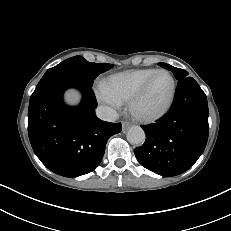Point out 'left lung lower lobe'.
I'll list each match as a JSON object with an SVG mask.
<instances>
[{"label":"left lung lower lobe","instance_id":"0a47b994","mask_svg":"<svg viewBox=\"0 0 231 231\" xmlns=\"http://www.w3.org/2000/svg\"><path fill=\"white\" fill-rule=\"evenodd\" d=\"M208 104L205 93L192 77L179 80L173 104L156 123L141 126L145 143L134 150L139 163L164 176L191 168L208 140Z\"/></svg>","mask_w":231,"mask_h":231}]
</instances>
